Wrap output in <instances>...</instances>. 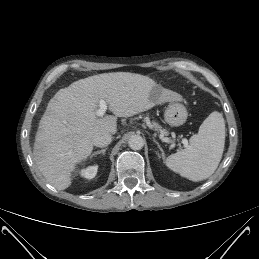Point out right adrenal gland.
<instances>
[{
    "label": "right adrenal gland",
    "mask_w": 259,
    "mask_h": 259,
    "mask_svg": "<svg viewBox=\"0 0 259 259\" xmlns=\"http://www.w3.org/2000/svg\"><path fill=\"white\" fill-rule=\"evenodd\" d=\"M106 150H107V148H104V149H102V150H98V151L92 153L91 156H90V158L92 159L94 156H96V155H98V154L104 155L105 152H106Z\"/></svg>",
    "instance_id": "1"
}]
</instances>
